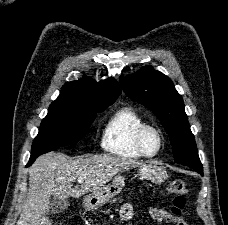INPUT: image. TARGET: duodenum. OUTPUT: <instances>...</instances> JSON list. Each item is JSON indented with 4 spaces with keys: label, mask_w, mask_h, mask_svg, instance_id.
<instances>
[{
    "label": "duodenum",
    "mask_w": 228,
    "mask_h": 225,
    "mask_svg": "<svg viewBox=\"0 0 228 225\" xmlns=\"http://www.w3.org/2000/svg\"><path fill=\"white\" fill-rule=\"evenodd\" d=\"M90 201H91V196H89V197L85 200L84 204H88V203H90Z\"/></svg>",
    "instance_id": "410a0bca"
}]
</instances>
